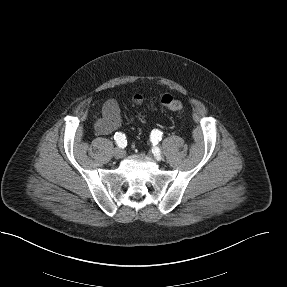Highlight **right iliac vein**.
Here are the masks:
<instances>
[{
	"mask_svg": "<svg viewBox=\"0 0 287 287\" xmlns=\"http://www.w3.org/2000/svg\"><path fill=\"white\" fill-rule=\"evenodd\" d=\"M113 155H114L115 158L121 159V158L124 157L125 152H124V150H122L120 148H115L114 151H113Z\"/></svg>",
	"mask_w": 287,
	"mask_h": 287,
	"instance_id": "1",
	"label": "right iliac vein"
}]
</instances>
